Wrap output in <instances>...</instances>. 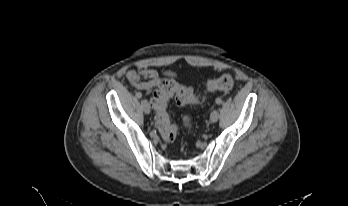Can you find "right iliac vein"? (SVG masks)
Instances as JSON below:
<instances>
[{"label":"right iliac vein","instance_id":"obj_1","mask_svg":"<svg viewBox=\"0 0 348 206\" xmlns=\"http://www.w3.org/2000/svg\"><path fill=\"white\" fill-rule=\"evenodd\" d=\"M141 105H142V109L144 111L145 114H149L150 113V106L149 103L146 99H143L141 101Z\"/></svg>","mask_w":348,"mask_h":206}]
</instances>
